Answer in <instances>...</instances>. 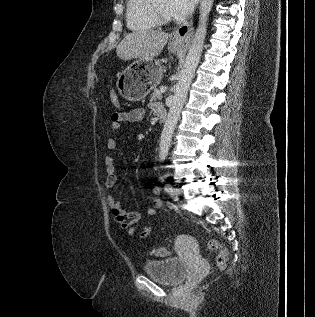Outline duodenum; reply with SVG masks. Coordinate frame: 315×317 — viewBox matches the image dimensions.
<instances>
[{
    "label": "duodenum",
    "mask_w": 315,
    "mask_h": 317,
    "mask_svg": "<svg viewBox=\"0 0 315 317\" xmlns=\"http://www.w3.org/2000/svg\"><path fill=\"white\" fill-rule=\"evenodd\" d=\"M157 115H158V118L160 121L164 122L167 118V112L166 110L163 108V109H160L157 111Z\"/></svg>",
    "instance_id": "obj_1"
}]
</instances>
